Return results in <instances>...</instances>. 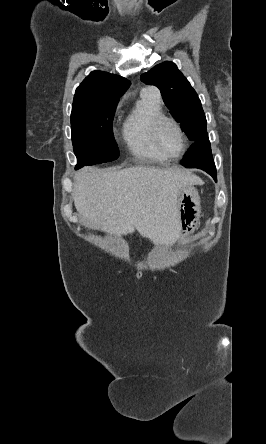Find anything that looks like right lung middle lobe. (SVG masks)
<instances>
[{"label": "right lung middle lobe", "mask_w": 266, "mask_h": 444, "mask_svg": "<svg viewBox=\"0 0 266 444\" xmlns=\"http://www.w3.org/2000/svg\"><path fill=\"white\" fill-rule=\"evenodd\" d=\"M118 102L119 99H106L72 107L71 135L77 169L118 158L119 149L112 132Z\"/></svg>", "instance_id": "1"}]
</instances>
